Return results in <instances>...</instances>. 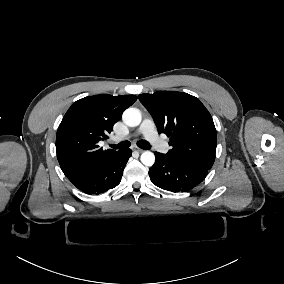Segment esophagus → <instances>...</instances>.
<instances>
[{"mask_svg":"<svg viewBox=\"0 0 284 284\" xmlns=\"http://www.w3.org/2000/svg\"><path fill=\"white\" fill-rule=\"evenodd\" d=\"M132 150H134V151H137V152H139V153H142V152H144V150L143 149H141V148H139V147H137V146H132Z\"/></svg>","mask_w":284,"mask_h":284,"instance_id":"obj_1","label":"esophagus"}]
</instances>
